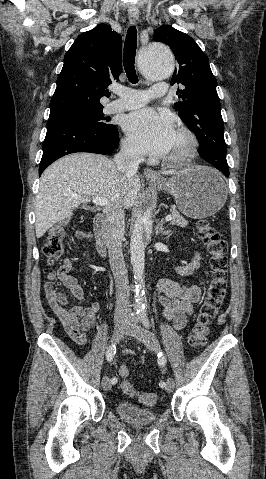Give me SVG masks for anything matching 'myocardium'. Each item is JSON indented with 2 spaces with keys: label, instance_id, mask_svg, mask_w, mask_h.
Instances as JSON below:
<instances>
[{
  "label": "myocardium",
  "instance_id": "f54148a6",
  "mask_svg": "<svg viewBox=\"0 0 266 479\" xmlns=\"http://www.w3.org/2000/svg\"><path fill=\"white\" fill-rule=\"evenodd\" d=\"M176 134L185 140L184 145L172 155L164 158V163L170 165H182L192 159L197 152L198 140L195 134L187 128H179Z\"/></svg>",
  "mask_w": 266,
  "mask_h": 479
}]
</instances>
